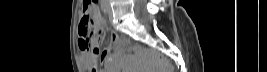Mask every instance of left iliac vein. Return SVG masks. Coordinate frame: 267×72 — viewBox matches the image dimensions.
<instances>
[{
	"instance_id": "obj_1",
	"label": "left iliac vein",
	"mask_w": 267,
	"mask_h": 72,
	"mask_svg": "<svg viewBox=\"0 0 267 72\" xmlns=\"http://www.w3.org/2000/svg\"><path fill=\"white\" fill-rule=\"evenodd\" d=\"M109 17H110V19H112V14H111L110 10H109Z\"/></svg>"
}]
</instances>
